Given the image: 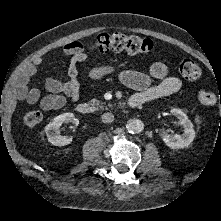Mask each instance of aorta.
Listing matches in <instances>:
<instances>
[{
  "instance_id": "obj_1",
  "label": "aorta",
  "mask_w": 221,
  "mask_h": 221,
  "mask_svg": "<svg viewBox=\"0 0 221 221\" xmlns=\"http://www.w3.org/2000/svg\"><path fill=\"white\" fill-rule=\"evenodd\" d=\"M126 129L129 133H140L144 129V124L139 119H129L126 123Z\"/></svg>"
}]
</instances>
